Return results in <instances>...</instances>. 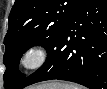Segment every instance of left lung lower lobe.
Instances as JSON below:
<instances>
[{
    "label": "left lung lower lobe",
    "instance_id": "left-lung-lower-lobe-1",
    "mask_svg": "<svg viewBox=\"0 0 107 89\" xmlns=\"http://www.w3.org/2000/svg\"><path fill=\"white\" fill-rule=\"evenodd\" d=\"M46 49L44 65L15 89L52 79L106 89L107 0H83Z\"/></svg>",
    "mask_w": 107,
    "mask_h": 89
}]
</instances>
